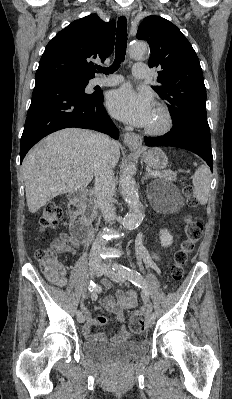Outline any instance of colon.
I'll use <instances>...</instances> for the list:
<instances>
[{
  "label": "colon",
  "mask_w": 232,
  "mask_h": 399,
  "mask_svg": "<svg viewBox=\"0 0 232 399\" xmlns=\"http://www.w3.org/2000/svg\"><path fill=\"white\" fill-rule=\"evenodd\" d=\"M175 182L181 189L182 198L189 205H194L198 201V196L194 191V186L190 177L184 173H179L175 177ZM44 218H41L39 227L43 231L52 230L57 221V216H60L57 203H44ZM203 221L199 217H194L188 221V225H184L185 230L181 246L178 251L174 252V261L178 264L185 262H193V257H190L194 251L195 241L197 235H201ZM53 253L45 249H40L36 253V258L41 262V266L48 273L47 282L63 285L67 281V275L60 270L59 266L54 264L52 258ZM177 279H182L186 275V270L182 266H177L171 269ZM131 320H133L132 329L133 335H148V328H143L142 324H148V317L146 313H131Z\"/></svg>",
  "instance_id": "5ec220e1"
}]
</instances>
